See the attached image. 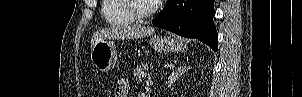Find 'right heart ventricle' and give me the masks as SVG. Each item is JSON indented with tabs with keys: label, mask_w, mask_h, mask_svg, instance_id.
<instances>
[{
	"label": "right heart ventricle",
	"mask_w": 302,
	"mask_h": 97,
	"mask_svg": "<svg viewBox=\"0 0 302 97\" xmlns=\"http://www.w3.org/2000/svg\"><path fill=\"white\" fill-rule=\"evenodd\" d=\"M101 13L111 26H128L136 22L125 10L123 0H103Z\"/></svg>",
	"instance_id": "obj_1"
}]
</instances>
